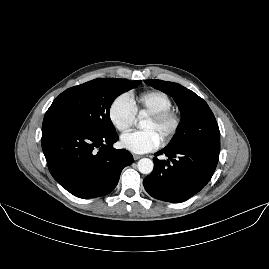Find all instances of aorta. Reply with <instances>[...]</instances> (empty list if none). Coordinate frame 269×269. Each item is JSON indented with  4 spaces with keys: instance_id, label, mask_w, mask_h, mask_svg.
<instances>
[{
    "instance_id": "1",
    "label": "aorta",
    "mask_w": 269,
    "mask_h": 269,
    "mask_svg": "<svg viewBox=\"0 0 269 269\" xmlns=\"http://www.w3.org/2000/svg\"><path fill=\"white\" fill-rule=\"evenodd\" d=\"M137 127L139 129H143L145 128L141 122H138ZM137 168L139 170V172L143 175H148L150 173H152L153 169H154V163L151 159L149 158H142L138 161L137 164Z\"/></svg>"
}]
</instances>
